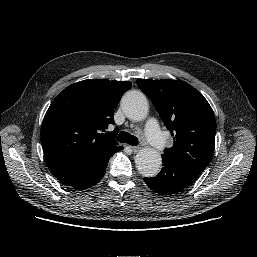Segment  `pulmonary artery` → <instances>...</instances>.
<instances>
[{
  "instance_id": "obj_1",
  "label": "pulmonary artery",
  "mask_w": 257,
  "mask_h": 257,
  "mask_svg": "<svg viewBox=\"0 0 257 257\" xmlns=\"http://www.w3.org/2000/svg\"><path fill=\"white\" fill-rule=\"evenodd\" d=\"M145 135L148 142L158 151L167 148V140L165 133L159 127L155 119H150L145 127Z\"/></svg>"
}]
</instances>
